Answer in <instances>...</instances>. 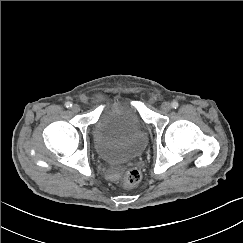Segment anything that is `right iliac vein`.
Here are the masks:
<instances>
[{
	"mask_svg": "<svg viewBox=\"0 0 243 243\" xmlns=\"http://www.w3.org/2000/svg\"><path fill=\"white\" fill-rule=\"evenodd\" d=\"M80 109H81V107L78 104H74L72 106V111L75 112V113L79 112Z\"/></svg>",
	"mask_w": 243,
	"mask_h": 243,
	"instance_id": "right-iliac-vein-1",
	"label": "right iliac vein"
}]
</instances>
